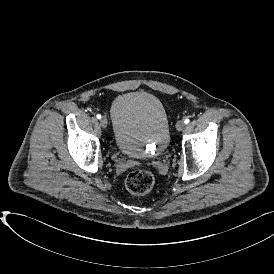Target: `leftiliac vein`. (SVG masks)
<instances>
[{
  "mask_svg": "<svg viewBox=\"0 0 274 274\" xmlns=\"http://www.w3.org/2000/svg\"><path fill=\"white\" fill-rule=\"evenodd\" d=\"M184 127H185L184 121L180 120L176 123V129L178 131H182L184 129Z\"/></svg>",
  "mask_w": 274,
  "mask_h": 274,
  "instance_id": "obj_1",
  "label": "left iliac vein"
}]
</instances>
